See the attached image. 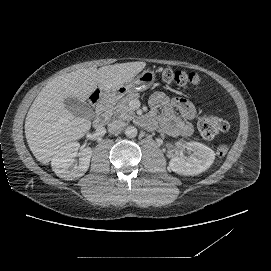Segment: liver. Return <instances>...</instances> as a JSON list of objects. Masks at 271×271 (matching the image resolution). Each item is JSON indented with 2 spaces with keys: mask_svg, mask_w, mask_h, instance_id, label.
Returning <instances> with one entry per match:
<instances>
[{
  "mask_svg": "<svg viewBox=\"0 0 271 271\" xmlns=\"http://www.w3.org/2000/svg\"><path fill=\"white\" fill-rule=\"evenodd\" d=\"M146 66L128 62L81 68L51 79L33 101L25 120V136L35 158L48 164L61 147L85 136L91 121L65 108L67 98L85 102L99 88L109 91L130 82Z\"/></svg>",
  "mask_w": 271,
  "mask_h": 271,
  "instance_id": "obj_1",
  "label": "liver"
}]
</instances>
